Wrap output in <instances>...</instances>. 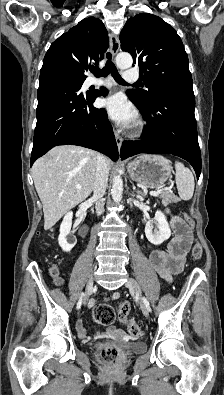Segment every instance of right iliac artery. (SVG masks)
<instances>
[{"label":"right iliac artery","mask_w":224,"mask_h":395,"mask_svg":"<svg viewBox=\"0 0 224 395\" xmlns=\"http://www.w3.org/2000/svg\"><path fill=\"white\" fill-rule=\"evenodd\" d=\"M83 297H84V293L81 294V297H80V299H79V301L77 303V307H76L77 309H80L82 301H83Z\"/></svg>","instance_id":"1"}]
</instances>
